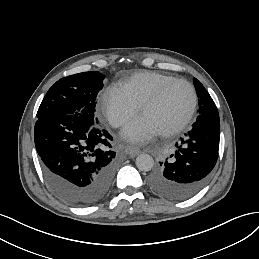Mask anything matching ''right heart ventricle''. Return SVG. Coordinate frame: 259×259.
Returning a JSON list of instances; mask_svg holds the SVG:
<instances>
[{
  "instance_id": "obj_1",
  "label": "right heart ventricle",
  "mask_w": 259,
  "mask_h": 259,
  "mask_svg": "<svg viewBox=\"0 0 259 259\" xmlns=\"http://www.w3.org/2000/svg\"><path fill=\"white\" fill-rule=\"evenodd\" d=\"M174 77L169 73L151 71L138 72L120 84V88L140 106L151 97L157 87L164 81Z\"/></svg>"
}]
</instances>
